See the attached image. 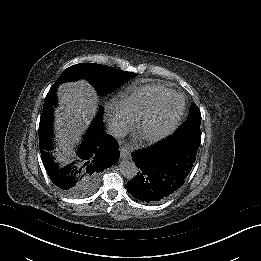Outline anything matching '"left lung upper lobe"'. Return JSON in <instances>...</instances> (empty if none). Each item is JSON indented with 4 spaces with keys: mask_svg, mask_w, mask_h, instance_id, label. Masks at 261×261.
Listing matches in <instances>:
<instances>
[{
    "mask_svg": "<svg viewBox=\"0 0 261 261\" xmlns=\"http://www.w3.org/2000/svg\"><path fill=\"white\" fill-rule=\"evenodd\" d=\"M201 113L194 102L191 103L189 117L182 124V126L175 132L179 136L192 139L194 142L200 144L201 133Z\"/></svg>",
    "mask_w": 261,
    "mask_h": 261,
    "instance_id": "left-lung-upper-lobe-1",
    "label": "left lung upper lobe"
}]
</instances>
